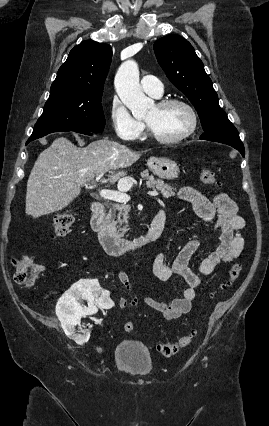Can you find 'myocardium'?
<instances>
[{
    "instance_id": "obj_1",
    "label": "myocardium",
    "mask_w": 269,
    "mask_h": 426,
    "mask_svg": "<svg viewBox=\"0 0 269 426\" xmlns=\"http://www.w3.org/2000/svg\"><path fill=\"white\" fill-rule=\"evenodd\" d=\"M171 105H181L183 107H185L188 112L190 113L191 116V125L188 128L187 131H185L184 133H182L179 136L176 137H172V138H165V137H161L160 135H158L152 128L151 126L146 122V126H147V133L148 136L161 144H177L180 143L184 140H186L187 138H189L190 136H192L195 131L198 128V124H199V118H198V114L196 112V110L194 109V107L187 101L180 99V98H166L163 100H160L157 103V106L160 108H166L169 107Z\"/></svg>"
}]
</instances>
